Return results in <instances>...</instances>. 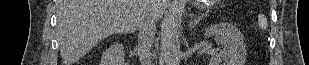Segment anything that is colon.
I'll return each instance as SVG.
<instances>
[{
	"label": "colon",
	"instance_id": "obj_1",
	"mask_svg": "<svg viewBox=\"0 0 309 65\" xmlns=\"http://www.w3.org/2000/svg\"><path fill=\"white\" fill-rule=\"evenodd\" d=\"M259 26L260 28H265L266 26V18L264 16L259 17Z\"/></svg>",
	"mask_w": 309,
	"mask_h": 65
}]
</instances>
